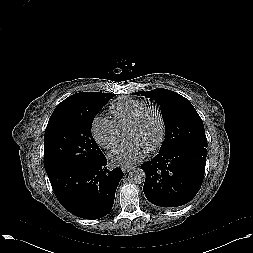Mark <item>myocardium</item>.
Listing matches in <instances>:
<instances>
[{
  "mask_svg": "<svg viewBox=\"0 0 253 253\" xmlns=\"http://www.w3.org/2000/svg\"><path fill=\"white\" fill-rule=\"evenodd\" d=\"M148 112H154L159 119L158 136H157L155 142L148 148V151H155L156 149H158L160 147L161 143L163 142L164 135H165V129H166L165 118H164V115H163L162 111L160 110V108H158L157 106H154V105L143 107L140 111H138L136 113V115L128 122V124L126 126L127 127L136 126L141 121L143 116L145 114H147Z\"/></svg>",
  "mask_w": 253,
  "mask_h": 253,
  "instance_id": "1",
  "label": "myocardium"
}]
</instances>
